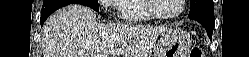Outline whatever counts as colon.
<instances>
[{"label":"colon","mask_w":249,"mask_h":57,"mask_svg":"<svg viewBox=\"0 0 249 57\" xmlns=\"http://www.w3.org/2000/svg\"><path fill=\"white\" fill-rule=\"evenodd\" d=\"M189 56L190 57H203L204 55H203V51L200 48L194 47L191 49Z\"/></svg>","instance_id":"1"}]
</instances>
